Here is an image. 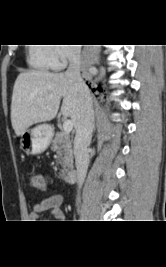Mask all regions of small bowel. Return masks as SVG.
Masks as SVG:
<instances>
[{"instance_id": "obj_1", "label": "small bowel", "mask_w": 166, "mask_h": 267, "mask_svg": "<svg viewBox=\"0 0 166 267\" xmlns=\"http://www.w3.org/2000/svg\"><path fill=\"white\" fill-rule=\"evenodd\" d=\"M63 202L64 197L62 195H51L34 205L30 218L35 221L44 216L45 214H50L56 220L61 221L64 217L61 211V206Z\"/></svg>"}]
</instances>
